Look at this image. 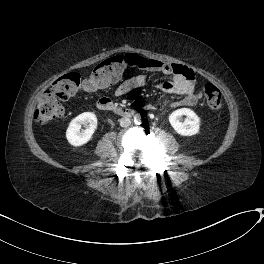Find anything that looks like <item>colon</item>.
Wrapping results in <instances>:
<instances>
[{"mask_svg":"<svg viewBox=\"0 0 264 264\" xmlns=\"http://www.w3.org/2000/svg\"><path fill=\"white\" fill-rule=\"evenodd\" d=\"M137 62L134 55L116 56L96 66L87 80L70 72L57 78L41 95L35 110V118L47 123L63 116L64 110L60 99H70L80 92H93L118 82L128 71L135 70ZM205 99L210 108L219 109L222 105V94L212 83L204 86Z\"/></svg>","mask_w":264,"mask_h":264,"instance_id":"colon-1","label":"colon"}]
</instances>
